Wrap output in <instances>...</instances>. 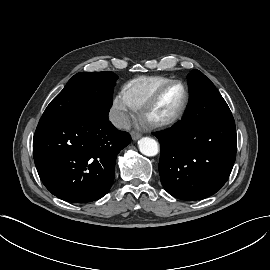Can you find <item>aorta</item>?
<instances>
[{"label":"aorta","instance_id":"762f6f07","mask_svg":"<svg viewBox=\"0 0 270 270\" xmlns=\"http://www.w3.org/2000/svg\"><path fill=\"white\" fill-rule=\"evenodd\" d=\"M140 152L145 156H155L158 154L159 148L156 140L150 137H143L138 142Z\"/></svg>","mask_w":270,"mask_h":270}]
</instances>
